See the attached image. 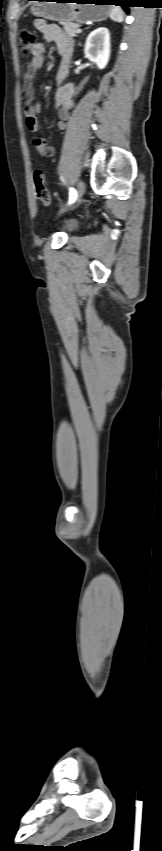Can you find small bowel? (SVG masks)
Wrapping results in <instances>:
<instances>
[{
	"label": "small bowel",
	"instance_id": "c3829d8e",
	"mask_svg": "<svg viewBox=\"0 0 162 851\" xmlns=\"http://www.w3.org/2000/svg\"><path fill=\"white\" fill-rule=\"evenodd\" d=\"M35 27L47 41L55 43L59 55L60 61L56 73L57 87L54 95V107L58 110L57 128L63 131L67 128L70 110L74 105V86L71 83H63L68 74L73 41L58 25L49 24L43 19L36 20ZM44 53V45L42 43L35 44L32 49V59L24 66L23 100L25 103V124L28 130L34 134L38 131L39 127L37 116L41 112V105L34 102L33 78L36 71L43 66ZM32 145L42 157L49 158L55 154L54 147L43 137L34 135Z\"/></svg>",
	"mask_w": 162,
	"mask_h": 851
}]
</instances>
